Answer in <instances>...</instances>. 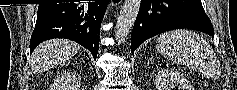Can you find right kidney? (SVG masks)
I'll list each match as a JSON object with an SVG mask.
<instances>
[{"label": "right kidney", "instance_id": "obj_1", "mask_svg": "<svg viewBox=\"0 0 237 90\" xmlns=\"http://www.w3.org/2000/svg\"><path fill=\"white\" fill-rule=\"evenodd\" d=\"M74 82H77V78H73L72 84H74Z\"/></svg>", "mask_w": 237, "mask_h": 90}]
</instances>
